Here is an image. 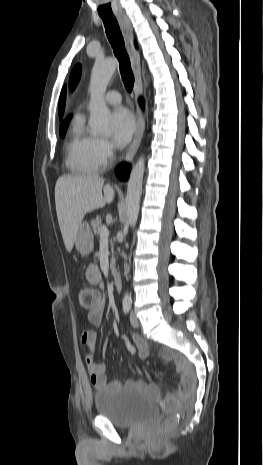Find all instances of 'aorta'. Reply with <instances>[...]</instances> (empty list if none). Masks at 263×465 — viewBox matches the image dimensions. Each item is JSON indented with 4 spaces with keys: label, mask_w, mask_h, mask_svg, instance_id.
<instances>
[{
    "label": "aorta",
    "mask_w": 263,
    "mask_h": 465,
    "mask_svg": "<svg viewBox=\"0 0 263 465\" xmlns=\"http://www.w3.org/2000/svg\"><path fill=\"white\" fill-rule=\"evenodd\" d=\"M117 67L114 58L96 61L90 79V120L89 126L95 134H109L111 132L110 111L105 103V92L108 83ZM145 171V158L140 156L133 166L127 185L126 206L128 224L134 228L139 215L142 183ZM131 297L126 294L124 301Z\"/></svg>",
    "instance_id": "1"
}]
</instances>
